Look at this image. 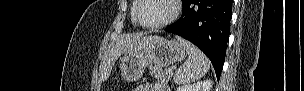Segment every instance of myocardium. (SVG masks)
I'll list each match as a JSON object with an SVG mask.
<instances>
[{"instance_id":"obj_1","label":"myocardium","mask_w":304,"mask_h":91,"mask_svg":"<svg viewBox=\"0 0 304 91\" xmlns=\"http://www.w3.org/2000/svg\"><path fill=\"white\" fill-rule=\"evenodd\" d=\"M168 1L172 6V12L166 19H164L161 22L155 23V24H144L139 18V11L142 7L143 0H137L136 7L133 12V18H134L135 22L139 26L146 28V29H158V28H163V27H166V26L172 24L180 17L181 12H182V5H181L180 0H168Z\"/></svg>"}]
</instances>
